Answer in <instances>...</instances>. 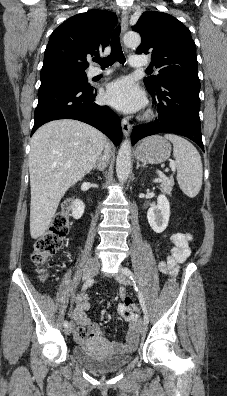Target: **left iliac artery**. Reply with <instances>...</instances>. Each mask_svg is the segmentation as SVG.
<instances>
[{
	"label": "left iliac artery",
	"mask_w": 227,
	"mask_h": 396,
	"mask_svg": "<svg viewBox=\"0 0 227 396\" xmlns=\"http://www.w3.org/2000/svg\"><path fill=\"white\" fill-rule=\"evenodd\" d=\"M123 271H124L125 275L128 276L135 284L136 291L138 292V299H139V302L141 304L142 310L144 312V322L146 324H148L149 323V315H148V312H147V307H146L145 300H144L142 292L140 291L139 287L136 286V283H137L136 277L133 274V272L130 269H128V268H124Z\"/></svg>",
	"instance_id": "1"
}]
</instances>
